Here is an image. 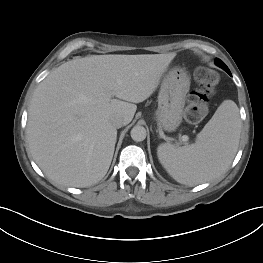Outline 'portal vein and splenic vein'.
I'll list each match as a JSON object with an SVG mask.
<instances>
[{
  "label": "portal vein and splenic vein",
  "instance_id": "1",
  "mask_svg": "<svg viewBox=\"0 0 263 263\" xmlns=\"http://www.w3.org/2000/svg\"><path fill=\"white\" fill-rule=\"evenodd\" d=\"M181 139H182L183 142H187V141H188V136L183 135V136L181 137Z\"/></svg>",
  "mask_w": 263,
  "mask_h": 263
}]
</instances>
